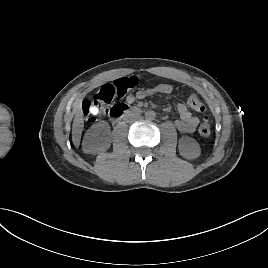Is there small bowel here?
<instances>
[{
    "label": "small bowel",
    "instance_id": "1",
    "mask_svg": "<svg viewBox=\"0 0 268 268\" xmlns=\"http://www.w3.org/2000/svg\"><path fill=\"white\" fill-rule=\"evenodd\" d=\"M173 91V86L162 83L151 88L139 89L135 94L126 96L127 104H132L135 100H143L155 94H170ZM176 110L179 114V119L175 121V127L181 133H192L199 124V119L192 114L187 105L179 102L176 105Z\"/></svg>",
    "mask_w": 268,
    "mask_h": 268
}]
</instances>
